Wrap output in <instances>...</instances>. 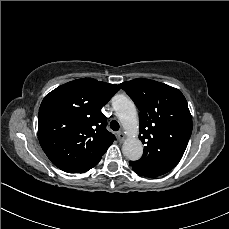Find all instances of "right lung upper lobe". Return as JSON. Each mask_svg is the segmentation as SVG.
Here are the masks:
<instances>
[{"instance_id":"right-lung-upper-lobe-1","label":"right lung upper lobe","mask_w":229,"mask_h":229,"mask_svg":"<svg viewBox=\"0 0 229 229\" xmlns=\"http://www.w3.org/2000/svg\"><path fill=\"white\" fill-rule=\"evenodd\" d=\"M119 89L82 78L57 87L43 99L38 138L54 165L68 173H83L100 161L115 140L101 108Z\"/></svg>"}]
</instances>
